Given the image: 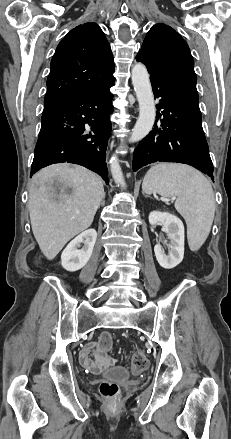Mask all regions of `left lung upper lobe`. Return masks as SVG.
Returning a JSON list of instances; mask_svg holds the SVG:
<instances>
[{
  "instance_id": "left-lung-upper-lobe-1",
  "label": "left lung upper lobe",
  "mask_w": 231,
  "mask_h": 439,
  "mask_svg": "<svg viewBox=\"0 0 231 439\" xmlns=\"http://www.w3.org/2000/svg\"><path fill=\"white\" fill-rule=\"evenodd\" d=\"M138 56L198 101L194 61L184 39L170 26L156 24L147 33Z\"/></svg>"
}]
</instances>
